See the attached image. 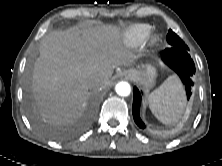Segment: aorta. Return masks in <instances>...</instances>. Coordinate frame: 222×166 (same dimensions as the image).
Listing matches in <instances>:
<instances>
[{"label": "aorta", "instance_id": "1", "mask_svg": "<svg viewBox=\"0 0 222 166\" xmlns=\"http://www.w3.org/2000/svg\"><path fill=\"white\" fill-rule=\"evenodd\" d=\"M115 91L119 96H128L131 92L129 83L122 81L115 86Z\"/></svg>", "mask_w": 222, "mask_h": 166}]
</instances>
